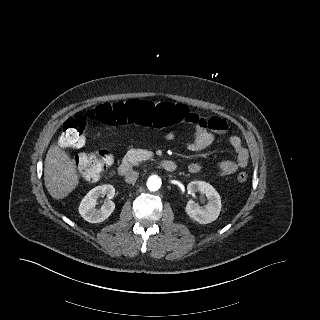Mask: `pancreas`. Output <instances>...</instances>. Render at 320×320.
<instances>
[{
	"mask_svg": "<svg viewBox=\"0 0 320 320\" xmlns=\"http://www.w3.org/2000/svg\"><path fill=\"white\" fill-rule=\"evenodd\" d=\"M124 159L130 162L132 165H138L139 162L145 160V156H143L139 150L132 148L126 153Z\"/></svg>",
	"mask_w": 320,
	"mask_h": 320,
	"instance_id": "obj_1",
	"label": "pancreas"
}]
</instances>
